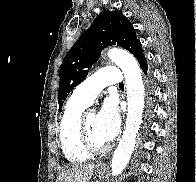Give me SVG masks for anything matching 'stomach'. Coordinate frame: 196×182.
Instances as JSON below:
<instances>
[{
    "mask_svg": "<svg viewBox=\"0 0 196 182\" xmlns=\"http://www.w3.org/2000/svg\"><path fill=\"white\" fill-rule=\"evenodd\" d=\"M96 174L99 177H103L105 175V168L102 167V165H97V167H96Z\"/></svg>",
    "mask_w": 196,
    "mask_h": 182,
    "instance_id": "stomach-1",
    "label": "stomach"
}]
</instances>
